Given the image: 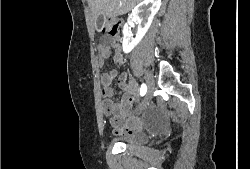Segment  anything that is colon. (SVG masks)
I'll return each mask as SVG.
<instances>
[{
    "instance_id": "5ec220e1",
    "label": "colon",
    "mask_w": 250,
    "mask_h": 169,
    "mask_svg": "<svg viewBox=\"0 0 250 169\" xmlns=\"http://www.w3.org/2000/svg\"><path fill=\"white\" fill-rule=\"evenodd\" d=\"M102 31L109 38H114L119 32L118 24H108L102 27Z\"/></svg>"
}]
</instances>
